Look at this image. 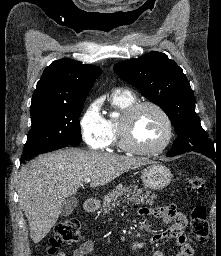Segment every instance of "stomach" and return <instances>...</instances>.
I'll use <instances>...</instances> for the list:
<instances>
[{"mask_svg":"<svg viewBox=\"0 0 221 256\" xmlns=\"http://www.w3.org/2000/svg\"><path fill=\"white\" fill-rule=\"evenodd\" d=\"M141 178L145 187L152 190H161L170 184L173 175L169 168L153 162L142 171Z\"/></svg>","mask_w":221,"mask_h":256,"instance_id":"0dacf381","label":"stomach"}]
</instances>
